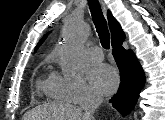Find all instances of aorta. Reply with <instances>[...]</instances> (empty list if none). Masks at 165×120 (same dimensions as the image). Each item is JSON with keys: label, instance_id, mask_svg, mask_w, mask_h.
Listing matches in <instances>:
<instances>
[{"label": "aorta", "instance_id": "obj_1", "mask_svg": "<svg viewBox=\"0 0 165 120\" xmlns=\"http://www.w3.org/2000/svg\"><path fill=\"white\" fill-rule=\"evenodd\" d=\"M87 30L79 18H70L65 26L64 39L60 48V61L66 74L74 76L84 67L83 45Z\"/></svg>", "mask_w": 165, "mask_h": 120}]
</instances>
